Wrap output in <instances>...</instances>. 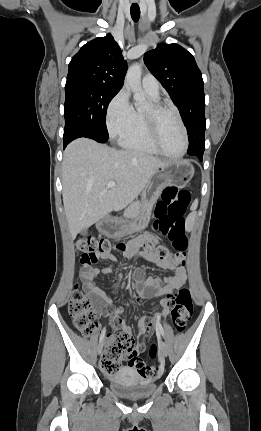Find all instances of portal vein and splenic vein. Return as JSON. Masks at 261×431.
I'll list each match as a JSON object with an SVG mask.
<instances>
[{
    "instance_id": "obj_1",
    "label": "portal vein and splenic vein",
    "mask_w": 261,
    "mask_h": 431,
    "mask_svg": "<svg viewBox=\"0 0 261 431\" xmlns=\"http://www.w3.org/2000/svg\"><path fill=\"white\" fill-rule=\"evenodd\" d=\"M115 186V182L114 181H110L108 184H107V188H112V187H114Z\"/></svg>"
}]
</instances>
